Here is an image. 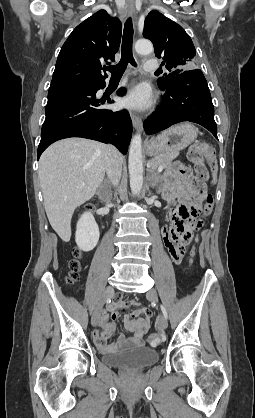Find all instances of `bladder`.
Wrapping results in <instances>:
<instances>
[{
	"label": "bladder",
	"instance_id": "1",
	"mask_svg": "<svg viewBox=\"0 0 255 418\" xmlns=\"http://www.w3.org/2000/svg\"><path fill=\"white\" fill-rule=\"evenodd\" d=\"M158 358L157 350L145 346H136L122 352L106 354L102 359L110 366L139 370L154 364Z\"/></svg>",
	"mask_w": 255,
	"mask_h": 418
}]
</instances>
